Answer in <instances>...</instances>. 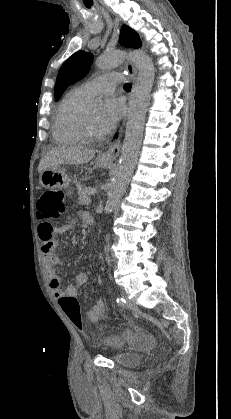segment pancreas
<instances>
[{
	"mask_svg": "<svg viewBox=\"0 0 231 419\" xmlns=\"http://www.w3.org/2000/svg\"><path fill=\"white\" fill-rule=\"evenodd\" d=\"M81 187L80 184H77V188ZM90 187L82 188V190L78 191V203L81 205H89L91 203V199L89 197Z\"/></svg>",
	"mask_w": 231,
	"mask_h": 419,
	"instance_id": "1",
	"label": "pancreas"
}]
</instances>
